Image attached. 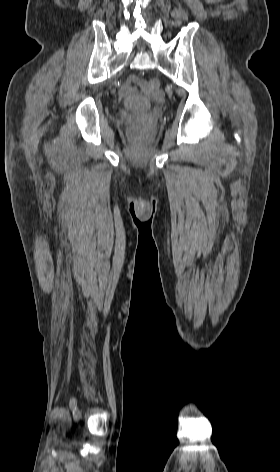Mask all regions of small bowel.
<instances>
[{
    "label": "small bowel",
    "instance_id": "small-bowel-1",
    "mask_svg": "<svg viewBox=\"0 0 280 472\" xmlns=\"http://www.w3.org/2000/svg\"><path fill=\"white\" fill-rule=\"evenodd\" d=\"M135 86H140L144 88L146 87V83L135 76H130L124 84L122 92L125 94L133 93L135 92Z\"/></svg>",
    "mask_w": 280,
    "mask_h": 472
}]
</instances>
